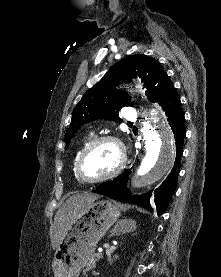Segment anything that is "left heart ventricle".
<instances>
[{
  "instance_id": "left-heart-ventricle-1",
  "label": "left heart ventricle",
  "mask_w": 221,
  "mask_h": 277,
  "mask_svg": "<svg viewBox=\"0 0 221 277\" xmlns=\"http://www.w3.org/2000/svg\"><path fill=\"white\" fill-rule=\"evenodd\" d=\"M119 153L116 146L104 142L91 150L82 163V173L87 178H97L111 172L118 164Z\"/></svg>"
}]
</instances>
